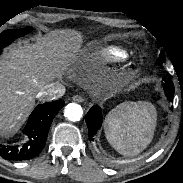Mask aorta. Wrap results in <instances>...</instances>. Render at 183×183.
Listing matches in <instances>:
<instances>
[{
    "instance_id": "obj_1",
    "label": "aorta",
    "mask_w": 183,
    "mask_h": 183,
    "mask_svg": "<svg viewBox=\"0 0 183 183\" xmlns=\"http://www.w3.org/2000/svg\"><path fill=\"white\" fill-rule=\"evenodd\" d=\"M83 115L82 107L76 103H70L65 107L64 116L70 121H78Z\"/></svg>"
}]
</instances>
